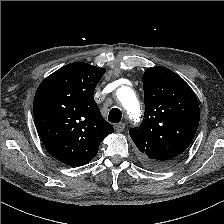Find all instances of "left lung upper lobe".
I'll list each match as a JSON object with an SVG mask.
<instances>
[{"mask_svg": "<svg viewBox=\"0 0 224 224\" xmlns=\"http://www.w3.org/2000/svg\"><path fill=\"white\" fill-rule=\"evenodd\" d=\"M144 119L129 130L144 163L153 168L174 164L191 144L200 111L190 86L165 67L148 68L143 75Z\"/></svg>", "mask_w": 224, "mask_h": 224, "instance_id": "obj_1", "label": "left lung upper lobe"}]
</instances>
